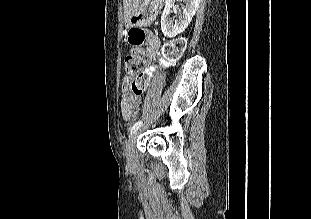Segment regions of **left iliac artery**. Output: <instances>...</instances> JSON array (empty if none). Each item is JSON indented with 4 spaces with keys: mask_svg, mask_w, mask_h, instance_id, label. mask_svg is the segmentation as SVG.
Instances as JSON below:
<instances>
[{
    "mask_svg": "<svg viewBox=\"0 0 311 219\" xmlns=\"http://www.w3.org/2000/svg\"><path fill=\"white\" fill-rule=\"evenodd\" d=\"M142 124H143V121H138V122H136V123L131 127L130 132L133 133V132L137 131V130L141 127Z\"/></svg>",
    "mask_w": 311,
    "mask_h": 219,
    "instance_id": "44dca946",
    "label": "left iliac artery"
}]
</instances>
